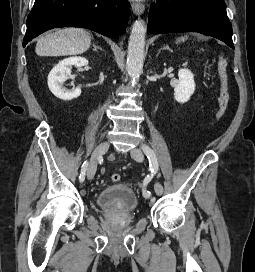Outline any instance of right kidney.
<instances>
[{
  "instance_id": "ca27d5eb",
  "label": "right kidney",
  "mask_w": 255,
  "mask_h": 272,
  "mask_svg": "<svg viewBox=\"0 0 255 272\" xmlns=\"http://www.w3.org/2000/svg\"><path fill=\"white\" fill-rule=\"evenodd\" d=\"M88 65V60L84 57H69L60 61L53 67L48 75V87L50 91L59 99L72 100L81 94L80 88L68 90L63 87L71 73L72 66L82 67Z\"/></svg>"
}]
</instances>
